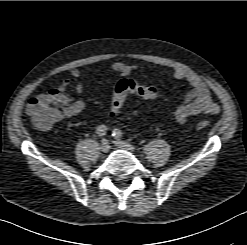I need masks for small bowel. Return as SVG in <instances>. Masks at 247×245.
I'll list each match as a JSON object with an SVG mask.
<instances>
[{"label": "small bowel", "instance_id": "1", "mask_svg": "<svg viewBox=\"0 0 247 245\" xmlns=\"http://www.w3.org/2000/svg\"><path fill=\"white\" fill-rule=\"evenodd\" d=\"M83 66H75L70 73L73 78H79L82 73ZM137 66L129 65L123 62H115L111 65V70L121 77L131 75ZM172 75L178 80L186 81L190 90L185 95L183 102L176 108L172 109L174 117L180 123H185L191 117L200 114H217L219 106L212 100L210 90L205 82L195 73L175 67L172 70ZM73 86L77 93H82L84 86L80 81L72 82L70 79H65L55 88L48 91L47 95L60 96L64 99L65 106L63 111L64 117H71L83 111L85 105L83 101H71L66 95V91Z\"/></svg>", "mask_w": 247, "mask_h": 245}]
</instances>
